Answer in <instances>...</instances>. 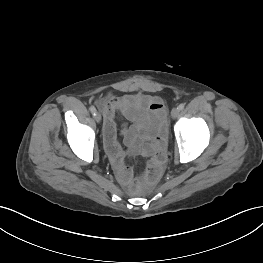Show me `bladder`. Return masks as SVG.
Listing matches in <instances>:
<instances>
[{
	"instance_id": "31cf9c89",
	"label": "bladder",
	"mask_w": 263,
	"mask_h": 263,
	"mask_svg": "<svg viewBox=\"0 0 263 263\" xmlns=\"http://www.w3.org/2000/svg\"><path fill=\"white\" fill-rule=\"evenodd\" d=\"M131 111L136 115V121L143 125L144 127L148 126L152 122L149 110L145 105H134L131 108Z\"/></svg>"
}]
</instances>
